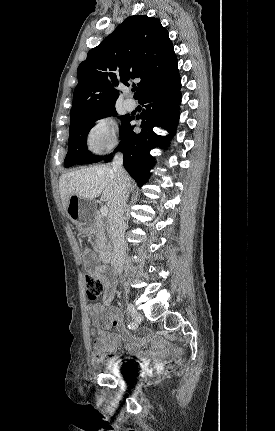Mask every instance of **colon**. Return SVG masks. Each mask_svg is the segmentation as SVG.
<instances>
[{"label": "colon", "instance_id": "1", "mask_svg": "<svg viewBox=\"0 0 275 431\" xmlns=\"http://www.w3.org/2000/svg\"><path fill=\"white\" fill-rule=\"evenodd\" d=\"M85 283L87 296L92 301L97 300L105 289L103 282L92 273L85 276Z\"/></svg>", "mask_w": 275, "mask_h": 431}]
</instances>
